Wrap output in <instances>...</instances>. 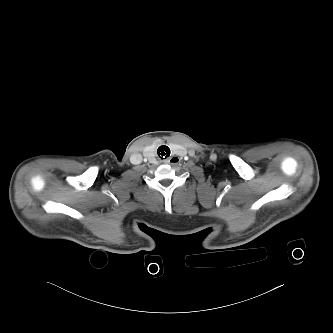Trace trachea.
<instances>
[{
	"label": "trachea",
	"instance_id": "1",
	"mask_svg": "<svg viewBox=\"0 0 333 333\" xmlns=\"http://www.w3.org/2000/svg\"><path fill=\"white\" fill-rule=\"evenodd\" d=\"M157 153H158V155L160 154L159 156H162V157H160V158L163 159V156H164L165 158H167V157L170 155V149H169V147L166 146V145H161V146H159V148L157 149Z\"/></svg>",
	"mask_w": 333,
	"mask_h": 333
}]
</instances>
